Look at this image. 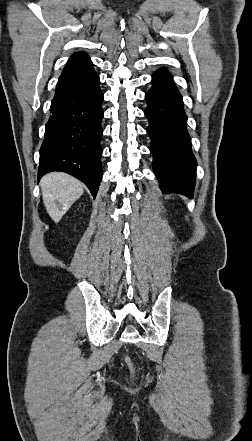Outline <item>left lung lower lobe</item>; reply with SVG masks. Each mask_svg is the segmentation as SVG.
<instances>
[{
    "mask_svg": "<svg viewBox=\"0 0 252 441\" xmlns=\"http://www.w3.org/2000/svg\"><path fill=\"white\" fill-rule=\"evenodd\" d=\"M145 116L151 137L153 169L163 193L192 196L197 162L191 150L183 100L172 75L164 68L152 76Z\"/></svg>",
    "mask_w": 252,
    "mask_h": 441,
    "instance_id": "0a47b994",
    "label": "left lung lower lobe"
}]
</instances>
